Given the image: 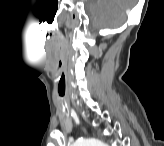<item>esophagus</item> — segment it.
<instances>
[{
	"instance_id": "1",
	"label": "esophagus",
	"mask_w": 164,
	"mask_h": 146,
	"mask_svg": "<svg viewBox=\"0 0 164 146\" xmlns=\"http://www.w3.org/2000/svg\"><path fill=\"white\" fill-rule=\"evenodd\" d=\"M83 131H84V133H86V132H87L85 128H83Z\"/></svg>"
}]
</instances>
